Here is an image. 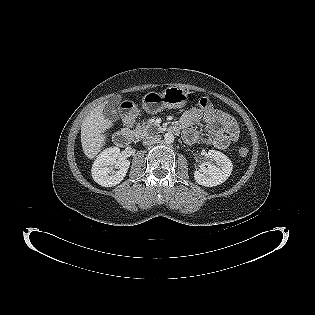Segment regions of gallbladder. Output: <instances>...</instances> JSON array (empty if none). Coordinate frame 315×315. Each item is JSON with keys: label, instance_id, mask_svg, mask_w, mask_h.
I'll return each instance as SVG.
<instances>
[{"label": "gallbladder", "instance_id": "obj_1", "mask_svg": "<svg viewBox=\"0 0 315 315\" xmlns=\"http://www.w3.org/2000/svg\"><path fill=\"white\" fill-rule=\"evenodd\" d=\"M115 106H116V100H111L105 105L104 110H103L104 116L111 121L118 120V114L115 110Z\"/></svg>", "mask_w": 315, "mask_h": 315}]
</instances>
